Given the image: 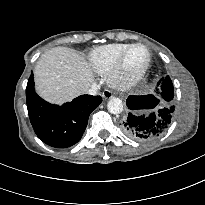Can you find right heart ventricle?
<instances>
[{
    "label": "right heart ventricle",
    "instance_id": "e07e8e85",
    "mask_svg": "<svg viewBox=\"0 0 205 205\" xmlns=\"http://www.w3.org/2000/svg\"><path fill=\"white\" fill-rule=\"evenodd\" d=\"M129 46L127 43H115L92 49L88 54L91 68L99 74L110 72Z\"/></svg>",
    "mask_w": 205,
    "mask_h": 205
}]
</instances>
